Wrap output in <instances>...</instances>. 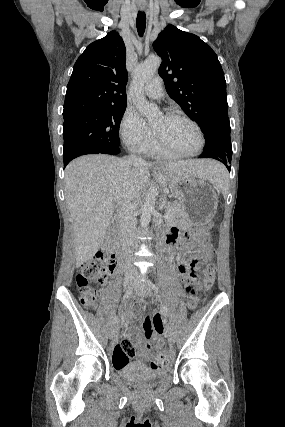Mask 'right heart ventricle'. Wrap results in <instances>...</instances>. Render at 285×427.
Listing matches in <instances>:
<instances>
[{
	"label": "right heart ventricle",
	"instance_id": "right-heart-ventricle-1",
	"mask_svg": "<svg viewBox=\"0 0 285 427\" xmlns=\"http://www.w3.org/2000/svg\"><path fill=\"white\" fill-rule=\"evenodd\" d=\"M148 156H153L162 159H175L180 156L165 150L155 139L154 142L143 152Z\"/></svg>",
	"mask_w": 285,
	"mask_h": 427
}]
</instances>
